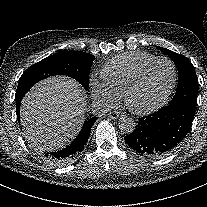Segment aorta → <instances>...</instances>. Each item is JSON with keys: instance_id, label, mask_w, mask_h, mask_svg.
Instances as JSON below:
<instances>
[{"instance_id": "762f6f07", "label": "aorta", "mask_w": 207, "mask_h": 207, "mask_svg": "<svg viewBox=\"0 0 207 207\" xmlns=\"http://www.w3.org/2000/svg\"><path fill=\"white\" fill-rule=\"evenodd\" d=\"M118 127L121 132H123L125 134H130L136 128V122L133 118L124 115L119 118Z\"/></svg>"}]
</instances>
